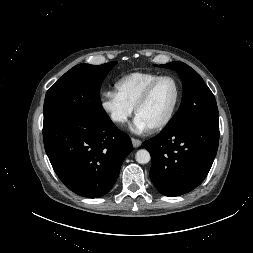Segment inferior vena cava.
Returning a JSON list of instances; mask_svg holds the SVG:
<instances>
[{
  "mask_svg": "<svg viewBox=\"0 0 253 253\" xmlns=\"http://www.w3.org/2000/svg\"><path fill=\"white\" fill-rule=\"evenodd\" d=\"M111 117H112V119L114 121H119V122H123L124 121V118L122 116H120V115L113 114Z\"/></svg>",
  "mask_w": 253,
  "mask_h": 253,
  "instance_id": "1",
  "label": "inferior vena cava"
}]
</instances>
